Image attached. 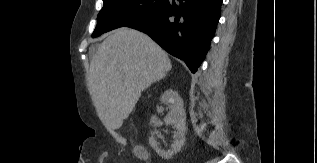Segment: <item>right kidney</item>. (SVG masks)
Masks as SVG:
<instances>
[{"instance_id": "right-kidney-1", "label": "right kidney", "mask_w": 317, "mask_h": 163, "mask_svg": "<svg viewBox=\"0 0 317 163\" xmlns=\"http://www.w3.org/2000/svg\"><path fill=\"white\" fill-rule=\"evenodd\" d=\"M161 102L169 103L171 105V110L164 119V122L168 125H172L176 131L173 135V143L168 150L161 149L155 138L151 135L149 138V144L154 148L159 156L165 159H170L174 154L181 150V147L185 142V132H186V113L184 109V103L181 97L176 91L171 89L165 91L161 98ZM150 123L156 125L157 117L154 115L151 117Z\"/></svg>"}]
</instances>
